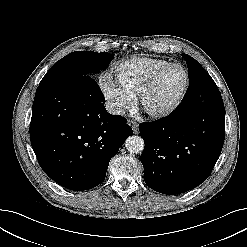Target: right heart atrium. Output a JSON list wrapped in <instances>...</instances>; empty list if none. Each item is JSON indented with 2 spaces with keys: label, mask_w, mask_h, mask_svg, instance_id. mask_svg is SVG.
I'll return each instance as SVG.
<instances>
[{
  "label": "right heart atrium",
  "mask_w": 247,
  "mask_h": 247,
  "mask_svg": "<svg viewBox=\"0 0 247 247\" xmlns=\"http://www.w3.org/2000/svg\"><path fill=\"white\" fill-rule=\"evenodd\" d=\"M99 88L113 113L121 114L131 106V97H129L109 76L104 75L100 77Z\"/></svg>",
  "instance_id": "d8ad5b80"
}]
</instances>
